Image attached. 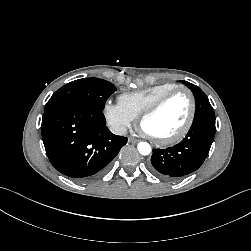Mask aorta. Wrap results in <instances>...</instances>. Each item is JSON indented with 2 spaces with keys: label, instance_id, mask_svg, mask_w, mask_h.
<instances>
[{
  "label": "aorta",
  "instance_id": "1",
  "mask_svg": "<svg viewBox=\"0 0 251 251\" xmlns=\"http://www.w3.org/2000/svg\"><path fill=\"white\" fill-rule=\"evenodd\" d=\"M137 149L141 155H149L151 152V146L147 142H140L137 145Z\"/></svg>",
  "mask_w": 251,
  "mask_h": 251
}]
</instances>
